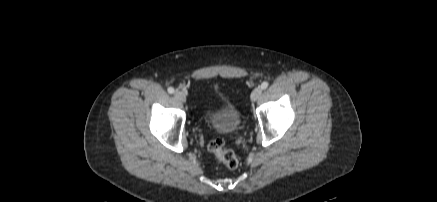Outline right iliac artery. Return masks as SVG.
<instances>
[{"instance_id":"right-iliac-artery-1","label":"right iliac artery","mask_w":437,"mask_h":202,"mask_svg":"<svg viewBox=\"0 0 437 202\" xmlns=\"http://www.w3.org/2000/svg\"><path fill=\"white\" fill-rule=\"evenodd\" d=\"M168 92H169L170 94H173V93H174V88H173V87H169V88H168Z\"/></svg>"}]
</instances>
